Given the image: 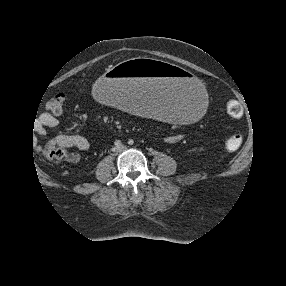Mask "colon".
Listing matches in <instances>:
<instances>
[{
  "label": "colon",
  "instance_id": "5ec220e1",
  "mask_svg": "<svg viewBox=\"0 0 286 286\" xmlns=\"http://www.w3.org/2000/svg\"><path fill=\"white\" fill-rule=\"evenodd\" d=\"M46 106L54 114H60L65 106L64 94H56L51 97ZM226 112L229 116L239 119L243 116L244 110L242 105L236 100H229L226 103ZM243 142V138L239 134H232L225 140V148L228 151H237ZM44 154L52 161H61L66 157V151L58 141L49 142L44 148Z\"/></svg>",
  "mask_w": 286,
  "mask_h": 286
}]
</instances>
